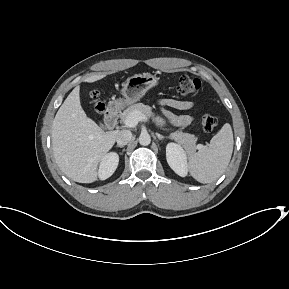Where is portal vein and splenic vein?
Wrapping results in <instances>:
<instances>
[{
	"mask_svg": "<svg viewBox=\"0 0 289 289\" xmlns=\"http://www.w3.org/2000/svg\"><path fill=\"white\" fill-rule=\"evenodd\" d=\"M147 120L148 118L144 114L135 111L125 119L124 124L128 128H134L135 126H137L139 121H147Z\"/></svg>",
	"mask_w": 289,
	"mask_h": 289,
	"instance_id": "18ae733b",
	"label": "portal vein and splenic vein"
}]
</instances>
